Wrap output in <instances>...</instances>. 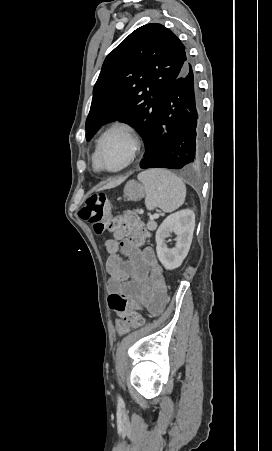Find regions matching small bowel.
<instances>
[{
  "label": "small bowel",
  "instance_id": "c3829d8e",
  "mask_svg": "<svg viewBox=\"0 0 272 451\" xmlns=\"http://www.w3.org/2000/svg\"><path fill=\"white\" fill-rule=\"evenodd\" d=\"M123 229V228H122ZM126 238L106 240L104 249L107 254L106 271L109 279L108 291L112 295L124 294L135 300L148 298L154 312L163 309L166 303L165 281L155 251L145 246L137 248L130 240V229ZM119 251L127 258L124 259Z\"/></svg>",
  "mask_w": 272,
  "mask_h": 451
}]
</instances>
